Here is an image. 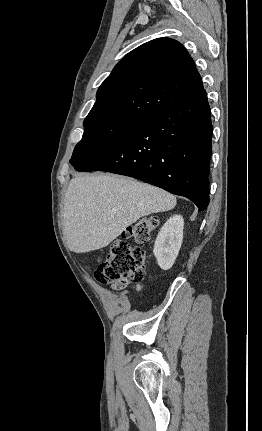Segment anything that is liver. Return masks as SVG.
Segmentation results:
<instances>
[{"instance_id":"6515ba94","label":"liver","mask_w":262,"mask_h":431,"mask_svg":"<svg viewBox=\"0 0 262 431\" xmlns=\"http://www.w3.org/2000/svg\"><path fill=\"white\" fill-rule=\"evenodd\" d=\"M176 198L136 180L92 174L73 178L64 199L63 225L69 249H101L139 218L176 206Z\"/></svg>"}]
</instances>
